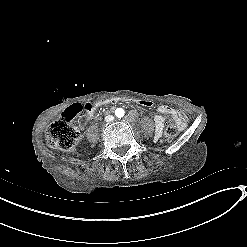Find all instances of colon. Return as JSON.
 <instances>
[{
  "mask_svg": "<svg viewBox=\"0 0 247 247\" xmlns=\"http://www.w3.org/2000/svg\"><path fill=\"white\" fill-rule=\"evenodd\" d=\"M113 102V99L105 100V103ZM115 102H124V99H115ZM126 103L137 104V101L126 100ZM104 104L99 101L93 104H73L69 106L46 131L47 145L53 149L63 152H71L75 149L79 138V129L86 123L91 107ZM143 107L154 108V101L142 99ZM178 129L174 122L169 121L165 128V138L170 140L177 135Z\"/></svg>",
  "mask_w": 247,
  "mask_h": 247,
  "instance_id": "colon-1",
  "label": "colon"
}]
</instances>
